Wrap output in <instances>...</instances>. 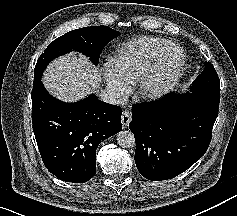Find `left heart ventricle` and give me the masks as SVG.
Listing matches in <instances>:
<instances>
[{
    "label": "left heart ventricle",
    "instance_id": "b2bd125f",
    "mask_svg": "<svg viewBox=\"0 0 237 216\" xmlns=\"http://www.w3.org/2000/svg\"><path fill=\"white\" fill-rule=\"evenodd\" d=\"M180 61V54L176 48H170L167 50V52L163 55L161 62L157 66L149 85L153 87L159 82L172 79L178 71ZM160 72H164V76L160 77Z\"/></svg>",
    "mask_w": 237,
    "mask_h": 216
}]
</instances>
